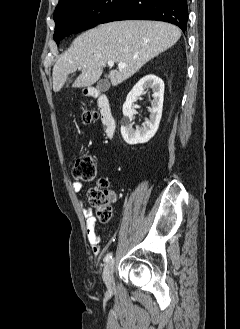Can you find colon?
Masks as SVG:
<instances>
[{
	"mask_svg": "<svg viewBox=\"0 0 240 329\" xmlns=\"http://www.w3.org/2000/svg\"><path fill=\"white\" fill-rule=\"evenodd\" d=\"M84 123H91L97 120L98 114L95 111L84 110L81 115ZM97 176V167L93 157L81 155L77 157L72 167V177L78 183L91 182ZM108 182L101 180L100 186L88 191V202L95 209L96 215L101 222H108L113 215L111 202L113 196L107 188Z\"/></svg>",
	"mask_w": 240,
	"mask_h": 329,
	"instance_id": "obj_1",
	"label": "colon"
}]
</instances>
